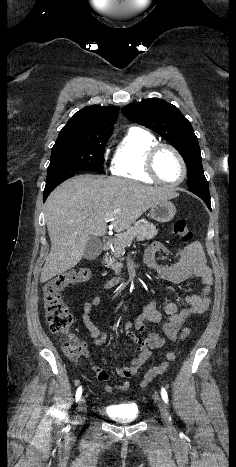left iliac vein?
I'll list each match as a JSON object with an SVG mask.
<instances>
[{"mask_svg":"<svg viewBox=\"0 0 236 467\" xmlns=\"http://www.w3.org/2000/svg\"><path fill=\"white\" fill-rule=\"evenodd\" d=\"M158 407H159V411H160L163 423L165 425H169L170 424V419H169L168 408H167L165 402L161 398H158Z\"/></svg>","mask_w":236,"mask_h":467,"instance_id":"1","label":"left iliac vein"}]
</instances>
